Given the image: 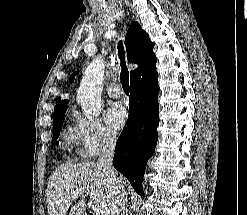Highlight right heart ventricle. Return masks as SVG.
Listing matches in <instances>:
<instances>
[{
    "label": "right heart ventricle",
    "mask_w": 247,
    "mask_h": 215,
    "mask_svg": "<svg viewBox=\"0 0 247 215\" xmlns=\"http://www.w3.org/2000/svg\"><path fill=\"white\" fill-rule=\"evenodd\" d=\"M64 143L67 147H77L78 139L74 133V129H68L64 133ZM82 153V151H80Z\"/></svg>",
    "instance_id": "e07e8e85"
}]
</instances>
